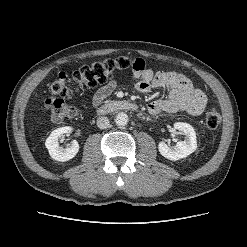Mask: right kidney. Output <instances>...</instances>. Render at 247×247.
<instances>
[{
	"mask_svg": "<svg viewBox=\"0 0 247 247\" xmlns=\"http://www.w3.org/2000/svg\"><path fill=\"white\" fill-rule=\"evenodd\" d=\"M72 132L70 127H61L54 130L45 142V146L49 151L50 156L61 162L68 161L76 156L79 151V144L77 141H72L66 148H61L58 139L63 134Z\"/></svg>",
	"mask_w": 247,
	"mask_h": 247,
	"instance_id": "obj_1",
	"label": "right kidney"
}]
</instances>
